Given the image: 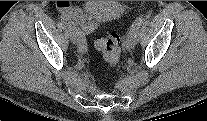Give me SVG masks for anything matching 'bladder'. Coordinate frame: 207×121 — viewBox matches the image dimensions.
Returning a JSON list of instances; mask_svg holds the SVG:
<instances>
[{
	"label": "bladder",
	"mask_w": 207,
	"mask_h": 121,
	"mask_svg": "<svg viewBox=\"0 0 207 121\" xmlns=\"http://www.w3.org/2000/svg\"><path fill=\"white\" fill-rule=\"evenodd\" d=\"M85 10L92 22L103 23L118 18L124 7L118 1H88Z\"/></svg>",
	"instance_id": "obj_1"
}]
</instances>
